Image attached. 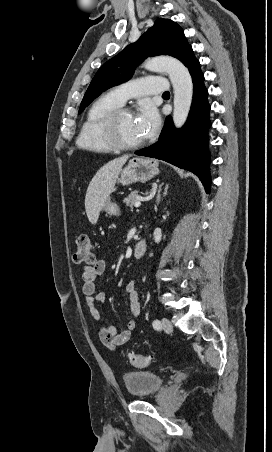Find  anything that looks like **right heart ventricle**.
<instances>
[{"mask_svg":"<svg viewBox=\"0 0 272 452\" xmlns=\"http://www.w3.org/2000/svg\"><path fill=\"white\" fill-rule=\"evenodd\" d=\"M121 106L110 93L98 97L86 112L76 140L77 146L90 152H111L113 148L103 135L102 122L110 111Z\"/></svg>","mask_w":272,"mask_h":452,"instance_id":"obj_1","label":"right heart ventricle"}]
</instances>
